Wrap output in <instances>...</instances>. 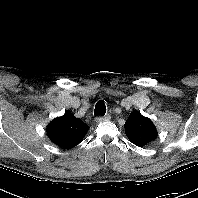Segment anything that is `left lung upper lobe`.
<instances>
[{"label": "left lung upper lobe", "mask_w": 198, "mask_h": 198, "mask_svg": "<svg viewBox=\"0 0 198 198\" xmlns=\"http://www.w3.org/2000/svg\"><path fill=\"white\" fill-rule=\"evenodd\" d=\"M124 127L129 140L139 147L149 144L157 137V130L152 121L138 111L130 114Z\"/></svg>", "instance_id": "left-lung-upper-lobe-1"}]
</instances>
